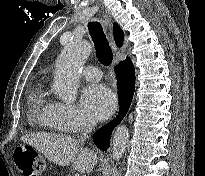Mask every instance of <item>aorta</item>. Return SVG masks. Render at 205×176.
<instances>
[{
  "label": "aorta",
  "mask_w": 205,
  "mask_h": 176,
  "mask_svg": "<svg viewBox=\"0 0 205 176\" xmlns=\"http://www.w3.org/2000/svg\"><path fill=\"white\" fill-rule=\"evenodd\" d=\"M90 53L91 45L87 41L72 40L59 55L55 66L53 90L63 101H74L80 83L81 71ZM128 137L126 126L116 129L112 139V156L117 161L126 150Z\"/></svg>",
  "instance_id": "762f6f07"
}]
</instances>
